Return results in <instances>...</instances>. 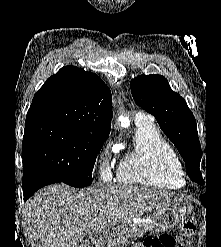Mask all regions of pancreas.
<instances>
[{"label":"pancreas","instance_id":"1","mask_svg":"<svg viewBox=\"0 0 221 247\" xmlns=\"http://www.w3.org/2000/svg\"><path fill=\"white\" fill-rule=\"evenodd\" d=\"M149 225L133 224L126 222L120 228H117L116 232L112 234V239L107 243V247H123L128 239L132 236H142L147 232Z\"/></svg>","mask_w":221,"mask_h":247}]
</instances>
